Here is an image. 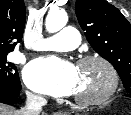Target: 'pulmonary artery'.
<instances>
[{
  "label": "pulmonary artery",
  "mask_w": 131,
  "mask_h": 115,
  "mask_svg": "<svg viewBox=\"0 0 131 115\" xmlns=\"http://www.w3.org/2000/svg\"><path fill=\"white\" fill-rule=\"evenodd\" d=\"M80 42L78 31L72 27H65L58 33L44 38L36 47L38 50L69 51Z\"/></svg>",
  "instance_id": "1"
}]
</instances>
